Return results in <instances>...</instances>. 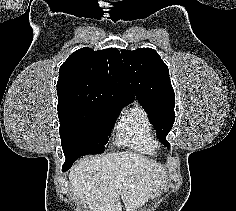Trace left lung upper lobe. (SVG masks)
I'll list each match as a JSON object with an SVG mask.
<instances>
[{
    "label": "left lung upper lobe",
    "instance_id": "left-lung-upper-lobe-1",
    "mask_svg": "<svg viewBox=\"0 0 236 211\" xmlns=\"http://www.w3.org/2000/svg\"><path fill=\"white\" fill-rule=\"evenodd\" d=\"M121 55L133 96L148 114L159 140L170 147L165 138L175 120V94L167 65L150 48L121 50Z\"/></svg>",
    "mask_w": 236,
    "mask_h": 211
}]
</instances>
